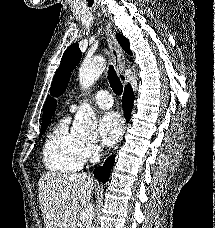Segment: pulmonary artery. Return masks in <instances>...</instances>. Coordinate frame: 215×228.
<instances>
[{
  "instance_id": "pulmonary-artery-1",
  "label": "pulmonary artery",
  "mask_w": 215,
  "mask_h": 228,
  "mask_svg": "<svg viewBox=\"0 0 215 228\" xmlns=\"http://www.w3.org/2000/svg\"><path fill=\"white\" fill-rule=\"evenodd\" d=\"M92 101L96 103L102 109H109L112 107L113 102L111 95L106 91H99L92 95ZM77 106L72 104L70 106L71 111H75Z\"/></svg>"
}]
</instances>
